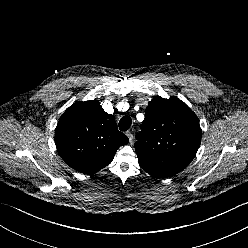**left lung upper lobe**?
Here are the masks:
<instances>
[{"label": "left lung upper lobe", "instance_id": "left-lung-upper-lobe-1", "mask_svg": "<svg viewBox=\"0 0 248 248\" xmlns=\"http://www.w3.org/2000/svg\"><path fill=\"white\" fill-rule=\"evenodd\" d=\"M136 135L140 166L151 176L165 178L183 170L195 157L201 128L195 113L176 97L154 98Z\"/></svg>", "mask_w": 248, "mask_h": 248}]
</instances>
